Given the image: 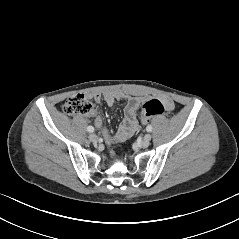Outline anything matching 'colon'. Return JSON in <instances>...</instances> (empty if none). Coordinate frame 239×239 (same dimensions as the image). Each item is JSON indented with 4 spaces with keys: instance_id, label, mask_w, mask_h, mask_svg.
<instances>
[{
    "instance_id": "5ec220e1",
    "label": "colon",
    "mask_w": 239,
    "mask_h": 239,
    "mask_svg": "<svg viewBox=\"0 0 239 239\" xmlns=\"http://www.w3.org/2000/svg\"><path fill=\"white\" fill-rule=\"evenodd\" d=\"M63 110L68 115H88L93 112L94 106L90 99L83 94H76L70 96L64 106ZM165 113L164 104L152 99L143 104L140 110V116L144 123L148 122L152 117L159 116Z\"/></svg>"
}]
</instances>
